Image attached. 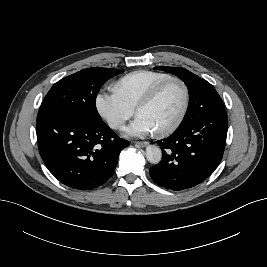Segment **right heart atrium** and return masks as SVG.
<instances>
[{
	"mask_svg": "<svg viewBox=\"0 0 267 267\" xmlns=\"http://www.w3.org/2000/svg\"><path fill=\"white\" fill-rule=\"evenodd\" d=\"M95 106L99 115L116 130L122 129L134 114V108L115 91L98 93Z\"/></svg>",
	"mask_w": 267,
	"mask_h": 267,
	"instance_id": "1",
	"label": "right heart atrium"
}]
</instances>
